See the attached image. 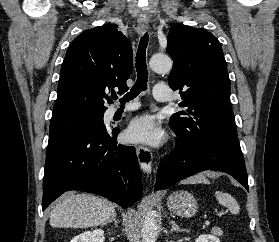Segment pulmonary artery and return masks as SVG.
<instances>
[{
    "mask_svg": "<svg viewBox=\"0 0 279 242\" xmlns=\"http://www.w3.org/2000/svg\"><path fill=\"white\" fill-rule=\"evenodd\" d=\"M155 100L159 102H167L170 98V88L167 85H155L154 86V92H153ZM139 107V104L134 102L130 103L125 106L123 109L124 112H130L133 110H136ZM117 111L116 108L112 109V113H115Z\"/></svg>",
    "mask_w": 279,
    "mask_h": 242,
    "instance_id": "e3ab8cb5",
    "label": "pulmonary artery"
}]
</instances>
